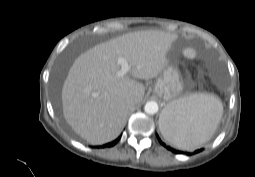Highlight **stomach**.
I'll list each match as a JSON object with an SVG mask.
<instances>
[{"label": "stomach", "mask_w": 255, "mask_h": 177, "mask_svg": "<svg viewBox=\"0 0 255 177\" xmlns=\"http://www.w3.org/2000/svg\"><path fill=\"white\" fill-rule=\"evenodd\" d=\"M153 91L156 95L169 102L167 106L180 98L183 92V82L178 69L173 66H166L162 74L158 77ZM167 106L162 113L167 112ZM162 123L163 120L160 118L159 125H162Z\"/></svg>", "instance_id": "stomach-1"}]
</instances>
